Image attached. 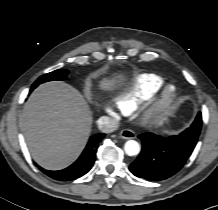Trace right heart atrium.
Returning a JSON list of instances; mask_svg holds the SVG:
<instances>
[{
  "label": "right heart atrium",
  "mask_w": 218,
  "mask_h": 210,
  "mask_svg": "<svg viewBox=\"0 0 218 210\" xmlns=\"http://www.w3.org/2000/svg\"><path fill=\"white\" fill-rule=\"evenodd\" d=\"M106 111H107L108 113H110L111 115H115V114H116L114 108H113L112 106H109V105L106 106Z\"/></svg>",
  "instance_id": "obj_1"
}]
</instances>
